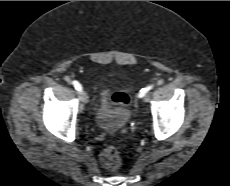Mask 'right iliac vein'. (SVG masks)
Instances as JSON below:
<instances>
[{"instance_id":"right-iliac-vein-1","label":"right iliac vein","mask_w":230,"mask_h":186,"mask_svg":"<svg viewBox=\"0 0 230 186\" xmlns=\"http://www.w3.org/2000/svg\"><path fill=\"white\" fill-rule=\"evenodd\" d=\"M80 99L84 104L88 103V95L84 90L80 91Z\"/></svg>"}]
</instances>
